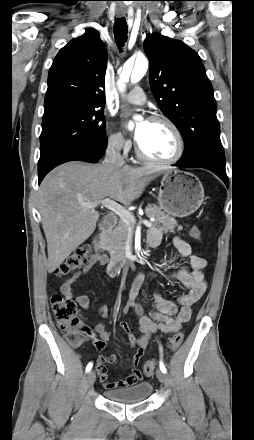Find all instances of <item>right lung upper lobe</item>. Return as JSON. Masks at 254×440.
Here are the masks:
<instances>
[{
	"mask_svg": "<svg viewBox=\"0 0 254 440\" xmlns=\"http://www.w3.org/2000/svg\"><path fill=\"white\" fill-rule=\"evenodd\" d=\"M106 66V51L97 31L88 30L70 41L49 69L44 107L59 102L102 107Z\"/></svg>",
	"mask_w": 254,
	"mask_h": 440,
	"instance_id": "1",
	"label": "right lung upper lobe"
}]
</instances>
